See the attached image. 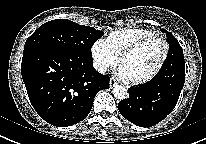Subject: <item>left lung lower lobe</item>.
Instances as JSON below:
<instances>
[{
    "label": "left lung lower lobe",
    "instance_id": "obj_1",
    "mask_svg": "<svg viewBox=\"0 0 206 144\" xmlns=\"http://www.w3.org/2000/svg\"><path fill=\"white\" fill-rule=\"evenodd\" d=\"M184 81L185 66L171 65L151 81L129 88V98L118 103V110L137 126H154L174 109Z\"/></svg>",
    "mask_w": 206,
    "mask_h": 144
}]
</instances>
